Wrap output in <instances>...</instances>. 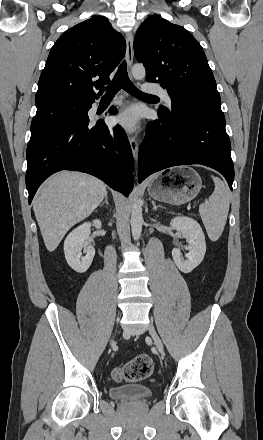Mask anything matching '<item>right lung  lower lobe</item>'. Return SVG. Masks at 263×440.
I'll return each instance as SVG.
<instances>
[{
	"instance_id": "right-lung-lower-lobe-1",
	"label": "right lung lower lobe",
	"mask_w": 263,
	"mask_h": 440,
	"mask_svg": "<svg viewBox=\"0 0 263 440\" xmlns=\"http://www.w3.org/2000/svg\"><path fill=\"white\" fill-rule=\"evenodd\" d=\"M94 101L86 103L87 112ZM109 112L115 113L116 109ZM27 162L29 204L42 182L61 170L96 176L125 196L133 189L134 162L125 132L120 126L109 129L104 122L89 124L88 117L30 139Z\"/></svg>"
}]
</instances>
